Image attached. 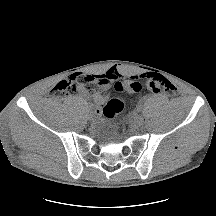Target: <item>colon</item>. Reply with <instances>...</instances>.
Returning <instances> with one entry per match:
<instances>
[{"instance_id": "1", "label": "colon", "mask_w": 216, "mask_h": 216, "mask_svg": "<svg viewBox=\"0 0 216 216\" xmlns=\"http://www.w3.org/2000/svg\"><path fill=\"white\" fill-rule=\"evenodd\" d=\"M155 93L173 95L174 85L161 75H147L144 82L137 79L117 81L114 89L118 93L125 91H139L142 86ZM111 80L106 75H72L60 81L54 88L58 93L80 94L94 96L104 94L109 90ZM124 109V100L121 96L111 98L103 107L102 112L108 119L116 117Z\"/></svg>"}]
</instances>
